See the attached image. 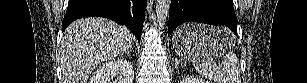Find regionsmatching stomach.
Instances as JSON below:
<instances>
[{"instance_id": "1", "label": "stomach", "mask_w": 307, "mask_h": 83, "mask_svg": "<svg viewBox=\"0 0 307 83\" xmlns=\"http://www.w3.org/2000/svg\"><path fill=\"white\" fill-rule=\"evenodd\" d=\"M235 36L226 28L205 24H185L173 36L175 52L185 59L199 62L216 59L231 49Z\"/></svg>"}]
</instances>
